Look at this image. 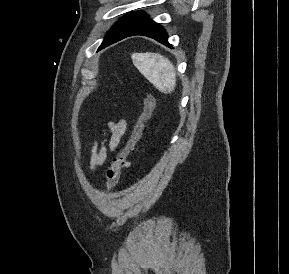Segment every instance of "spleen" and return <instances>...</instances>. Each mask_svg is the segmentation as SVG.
I'll use <instances>...</instances> for the list:
<instances>
[{
  "label": "spleen",
  "instance_id": "spleen-1",
  "mask_svg": "<svg viewBox=\"0 0 289 274\" xmlns=\"http://www.w3.org/2000/svg\"><path fill=\"white\" fill-rule=\"evenodd\" d=\"M134 66L159 91L171 93L176 86V73L173 64L158 53H135Z\"/></svg>",
  "mask_w": 289,
  "mask_h": 274
}]
</instances>
